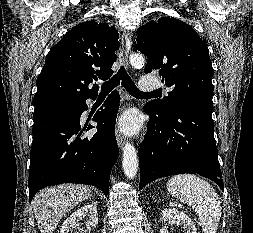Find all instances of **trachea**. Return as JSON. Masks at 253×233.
Instances as JSON below:
<instances>
[{"label":"trachea","instance_id":"trachea-1","mask_svg":"<svg viewBox=\"0 0 253 233\" xmlns=\"http://www.w3.org/2000/svg\"><path fill=\"white\" fill-rule=\"evenodd\" d=\"M120 81H122V86L133 96H143L150 94L144 93L136 87L123 66L120 67L116 75L101 85V94H108L111 92L113 88L120 84Z\"/></svg>","mask_w":253,"mask_h":233}]
</instances>
